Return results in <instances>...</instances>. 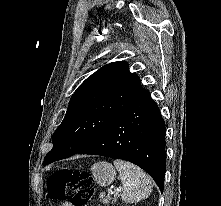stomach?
Returning <instances> with one entry per match:
<instances>
[{
	"instance_id": "1",
	"label": "stomach",
	"mask_w": 221,
	"mask_h": 206,
	"mask_svg": "<svg viewBox=\"0 0 221 206\" xmlns=\"http://www.w3.org/2000/svg\"><path fill=\"white\" fill-rule=\"evenodd\" d=\"M94 180L101 186L110 185L115 177L116 170L108 162H98L91 167Z\"/></svg>"
}]
</instances>
